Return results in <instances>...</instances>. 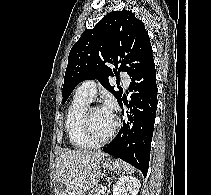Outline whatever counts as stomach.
I'll list each match as a JSON object with an SVG mask.
<instances>
[{
    "mask_svg": "<svg viewBox=\"0 0 211 195\" xmlns=\"http://www.w3.org/2000/svg\"><path fill=\"white\" fill-rule=\"evenodd\" d=\"M124 167H125V163L121 160L110 159V158L103 160L101 162V164H99L98 167L95 170H93L90 173V175L88 176L90 189L93 188L99 181L100 176H101V168H104L109 171H115V170L119 171V170H122ZM61 191H65V190L61 189ZM85 192H87V191H85ZM85 192H83L82 194H79V195H85ZM66 195H69V194H66Z\"/></svg>",
    "mask_w": 211,
    "mask_h": 195,
    "instance_id": "0dacf381",
    "label": "stomach"
}]
</instances>
